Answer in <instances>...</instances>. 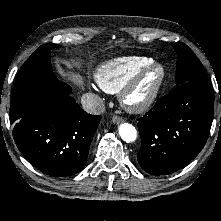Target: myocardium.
<instances>
[{"label": "myocardium", "mask_w": 221, "mask_h": 221, "mask_svg": "<svg viewBox=\"0 0 221 221\" xmlns=\"http://www.w3.org/2000/svg\"><path fill=\"white\" fill-rule=\"evenodd\" d=\"M153 71L158 72V76L146 94L134 99V94L142 84L144 79ZM166 79V70L158 62H152L138 71L119 91V101L122 107L131 113H143L150 109L156 102Z\"/></svg>", "instance_id": "1"}]
</instances>
